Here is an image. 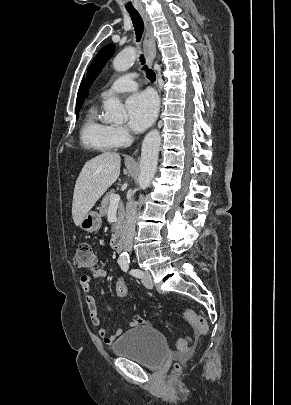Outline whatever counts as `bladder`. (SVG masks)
Instances as JSON below:
<instances>
[{
  "label": "bladder",
  "mask_w": 291,
  "mask_h": 405,
  "mask_svg": "<svg viewBox=\"0 0 291 405\" xmlns=\"http://www.w3.org/2000/svg\"><path fill=\"white\" fill-rule=\"evenodd\" d=\"M117 356L128 358L146 368L156 369L169 354L166 337L150 325H141L124 333L113 345Z\"/></svg>",
  "instance_id": "1"
}]
</instances>
